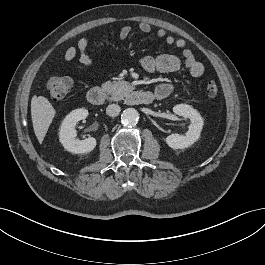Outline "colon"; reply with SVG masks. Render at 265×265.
<instances>
[{
  "mask_svg": "<svg viewBox=\"0 0 265 265\" xmlns=\"http://www.w3.org/2000/svg\"><path fill=\"white\" fill-rule=\"evenodd\" d=\"M72 88V80L67 76L51 77L46 83V89L53 100H62ZM219 87L215 82H209L206 86V93L210 97L218 94Z\"/></svg>",
  "mask_w": 265,
  "mask_h": 265,
  "instance_id": "5ec220e1",
  "label": "colon"
}]
</instances>
